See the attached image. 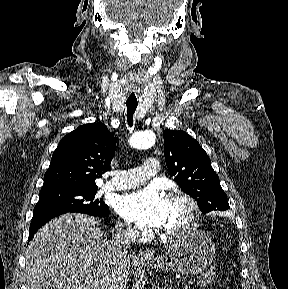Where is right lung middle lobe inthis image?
<instances>
[{
  "instance_id": "right-lung-middle-lobe-1",
  "label": "right lung middle lobe",
  "mask_w": 288,
  "mask_h": 289,
  "mask_svg": "<svg viewBox=\"0 0 288 289\" xmlns=\"http://www.w3.org/2000/svg\"><path fill=\"white\" fill-rule=\"evenodd\" d=\"M98 187L42 188L34 213L65 211L98 215L108 209L102 199L96 198Z\"/></svg>"
}]
</instances>
